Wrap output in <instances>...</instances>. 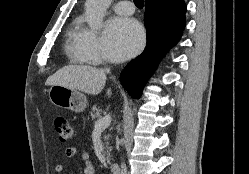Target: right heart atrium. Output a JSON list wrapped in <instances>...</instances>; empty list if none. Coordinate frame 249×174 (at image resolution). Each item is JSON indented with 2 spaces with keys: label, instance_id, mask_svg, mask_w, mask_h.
Masks as SVG:
<instances>
[{
  "label": "right heart atrium",
  "instance_id": "1",
  "mask_svg": "<svg viewBox=\"0 0 249 174\" xmlns=\"http://www.w3.org/2000/svg\"><path fill=\"white\" fill-rule=\"evenodd\" d=\"M78 48L82 56L90 63H99L103 59L100 39L97 34L90 29H83Z\"/></svg>",
  "mask_w": 249,
  "mask_h": 174
}]
</instances>
